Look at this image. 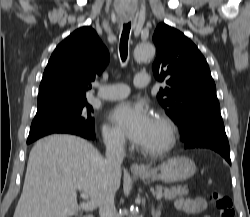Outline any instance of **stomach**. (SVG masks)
<instances>
[{"instance_id":"stomach-1","label":"stomach","mask_w":250,"mask_h":217,"mask_svg":"<svg viewBox=\"0 0 250 217\" xmlns=\"http://www.w3.org/2000/svg\"><path fill=\"white\" fill-rule=\"evenodd\" d=\"M196 171L195 163L186 157L170 158L162 164L149 168L145 173L136 174L143 181L180 182L191 178Z\"/></svg>"}]
</instances>
